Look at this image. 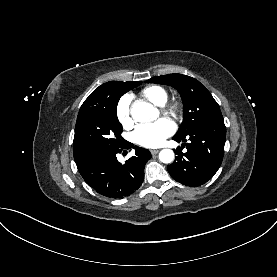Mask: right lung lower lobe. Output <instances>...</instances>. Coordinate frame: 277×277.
I'll return each instance as SVG.
<instances>
[{
	"label": "right lung lower lobe",
	"instance_id": "right-lung-lower-lobe-1",
	"mask_svg": "<svg viewBox=\"0 0 277 277\" xmlns=\"http://www.w3.org/2000/svg\"><path fill=\"white\" fill-rule=\"evenodd\" d=\"M127 144L116 150L103 151L76 162L85 182L100 194L109 198H123L137 190L144 180V167L151 158L147 149L134 146L135 156L125 164L118 162L116 154Z\"/></svg>",
	"mask_w": 277,
	"mask_h": 277
}]
</instances>
